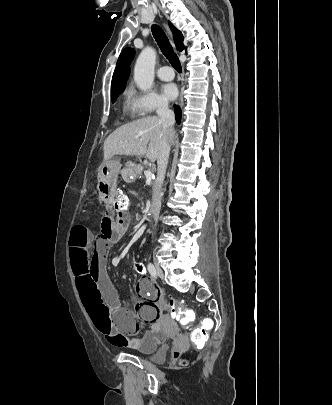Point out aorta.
<instances>
[{
	"instance_id": "1",
	"label": "aorta",
	"mask_w": 332,
	"mask_h": 405,
	"mask_svg": "<svg viewBox=\"0 0 332 405\" xmlns=\"http://www.w3.org/2000/svg\"><path fill=\"white\" fill-rule=\"evenodd\" d=\"M155 61L156 51L151 47H145L137 58L134 81L142 91L149 90L153 85Z\"/></svg>"
}]
</instances>
